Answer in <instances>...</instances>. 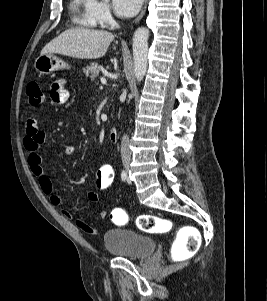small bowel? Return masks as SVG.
Returning a JSON list of instances; mask_svg holds the SVG:
<instances>
[{
  "label": "small bowel",
  "mask_w": 267,
  "mask_h": 301,
  "mask_svg": "<svg viewBox=\"0 0 267 301\" xmlns=\"http://www.w3.org/2000/svg\"><path fill=\"white\" fill-rule=\"evenodd\" d=\"M69 98V91L66 87V81L64 79H58L53 82L50 92V102L52 105H63ZM25 136L23 138V146L28 152V165L31 172L38 178V183L46 194L51 203L54 205H60L62 198L56 193L55 187L51 179L45 173L42 167V157L39 153L41 145L45 141L44 133L39 129L37 119L34 116L29 117L25 123ZM76 147L73 144H68L64 147V154L67 156L75 153ZM90 202H97L99 200V193L95 190L89 191L87 194ZM62 213L70 217L71 214L68 210H62ZM101 218L106 217V211L99 213ZM77 225L86 233L91 235L98 234V230L94 227L87 225L82 221H78Z\"/></svg>",
  "instance_id": "obj_1"
}]
</instances>
